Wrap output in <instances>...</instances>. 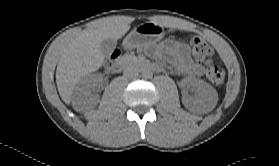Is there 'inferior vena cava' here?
Listing matches in <instances>:
<instances>
[{"label":"inferior vena cava","mask_w":279,"mask_h":166,"mask_svg":"<svg viewBox=\"0 0 279 166\" xmlns=\"http://www.w3.org/2000/svg\"><path fill=\"white\" fill-rule=\"evenodd\" d=\"M124 76L127 78H136L138 76V71L134 69L126 70Z\"/></svg>","instance_id":"inferior-vena-cava-1"}]
</instances>
